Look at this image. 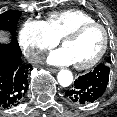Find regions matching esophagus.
<instances>
[{
  "label": "esophagus",
  "instance_id": "1",
  "mask_svg": "<svg viewBox=\"0 0 117 117\" xmlns=\"http://www.w3.org/2000/svg\"><path fill=\"white\" fill-rule=\"evenodd\" d=\"M47 70L52 73H56L58 71V69L55 68H47Z\"/></svg>",
  "mask_w": 117,
  "mask_h": 117
}]
</instances>
